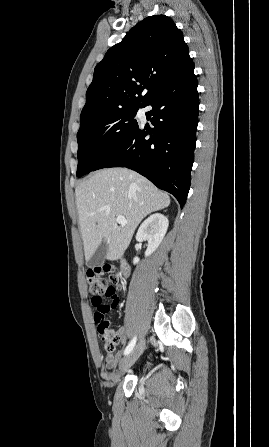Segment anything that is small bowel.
Segmentation results:
<instances>
[{
    "label": "small bowel",
    "mask_w": 269,
    "mask_h": 447,
    "mask_svg": "<svg viewBox=\"0 0 269 447\" xmlns=\"http://www.w3.org/2000/svg\"><path fill=\"white\" fill-rule=\"evenodd\" d=\"M116 335L119 338V341L122 344H125L128 341V337L126 335V328L124 326H119L116 330H115ZM120 353H107L105 356V365L107 368H113L116 366L119 358H120Z\"/></svg>",
    "instance_id": "small-bowel-1"
}]
</instances>
